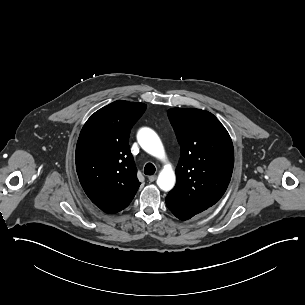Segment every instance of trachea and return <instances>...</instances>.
<instances>
[{"mask_svg":"<svg viewBox=\"0 0 305 305\" xmlns=\"http://www.w3.org/2000/svg\"><path fill=\"white\" fill-rule=\"evenodd\" d=\"M156 171L155 166L152 163H147L144 168L145 175H153Z\"/></svg>","mask_w":305,"mask_h":305,"instance_id":"3493384b","label":"trachea"}]
</instances>
